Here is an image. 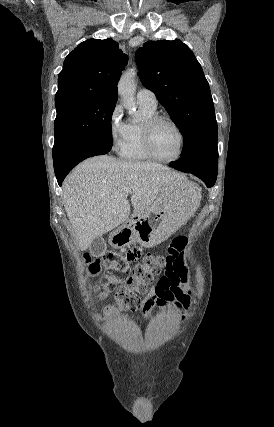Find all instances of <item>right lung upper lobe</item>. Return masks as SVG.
Returning <instances> with one entry per match:
<instances>
[{
  "instance_id": "cb5924a9",
  "label": "right lung upper lobe",
  "mask_w": 274,
  "mask_h": 427,
  "mask_svg": "<svg viewBox=\"0 0 274 427\" xmlns=\"http://www.w3.org/2000/svg\"><path fill=\"white\" fill-rule=\"evenodd\" d=\"M128 56L112 39H89L64 61L55 104L91 97H117V83ZM118 98V97H117Z\"/></svg>"
}]
</instances>
